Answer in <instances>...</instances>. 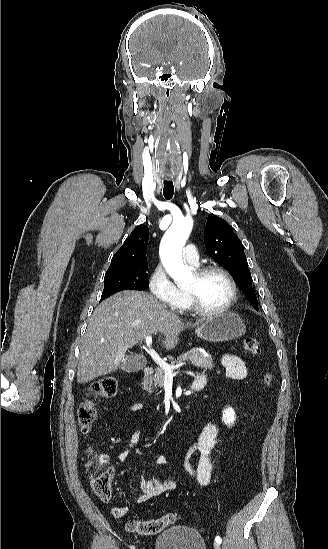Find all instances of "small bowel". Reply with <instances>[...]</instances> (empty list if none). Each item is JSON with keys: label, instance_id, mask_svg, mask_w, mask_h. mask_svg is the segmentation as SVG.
I'll return each instance as SVG.
<instances>
[{"label": "small bowel", "instance_id": "obj_1", "mask_svg": "<svg viewBox=\"0 0 328 549\" xmlns=\"http://www.w3.org/2000/svg\"><path fill=\"white\" fill-rule=\"evenodd\" d=\"M221 365L226 370L227 375L235 380H242L247 376V368L244 361L235 355H224L221 358ZM199 376H202L201 374ZM142 405L137 403L130 407L133 412L140 411ZM218 434V426L214 421H210L201 431L197 439L184 451L183 470L188 477L194 480L200 486H206L210 483L213 470L212 454L216 444V437ZM139 440L138 431H134L129 442L128 448L117 454V459L121 462L126 461L131 453V450L135 447ZM197 453L198 459L195 467L190 462L191 457ZM102 464H109L110 456L102 455L100 457ZM168 462V457L165 455L157 456L154 459V464L164 465ZM177 485L175 482L159 478L153 474L149 478H142L140 482L141 494L138 496L136 502L144 503L156 496L176 490ZM127 508H118L114 510V514L119 516L124 514Z\"/></svg>", "mask_w": 328, "mask_h": 549}]
</instances>
